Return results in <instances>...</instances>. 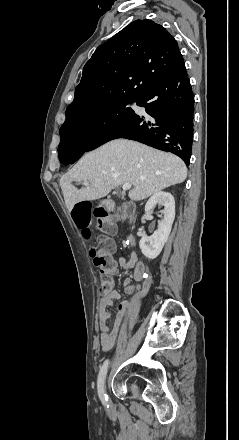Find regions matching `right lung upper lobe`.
Segmentation results:
<instances>
[{"instance_id":"cb5924a9","label":"right lung upper lobe","mask_w":239,"mask_h":440,"mask_svg":"<svg viewBox=\"0 0 239 440\" xmlns=\"http://www.w3.org/2000/svg\"><path fill=\"white\" fill-rule=\"evenodd\" d=\"M182 59L174 37L151 20H136L99 46L85 64L66 119L117 97L139 98Z\"/></svg>"}]
</instances>
